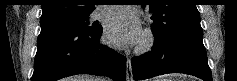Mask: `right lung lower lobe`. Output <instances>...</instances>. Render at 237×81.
Returning <instances> with one entry per match:
<instances>
[{
	"instance_id": "obj_1",
	"label": "right lung lower lobe",
	"mask_w": 237,
	"mask_h": 81,
	"mask_svg": "<svg viewBox=\"0 0 237 81\" xmlns=\"http://www.w3.org/2000/svg\"><path fill=\"white\" fill-rule=\"evenodd\" d=\"M101 34L102 27L93 31L58 25L41 27L31 81H56L75 74L125 81L126 58L101 45Z\"/></svg>"
}]
</instances>
